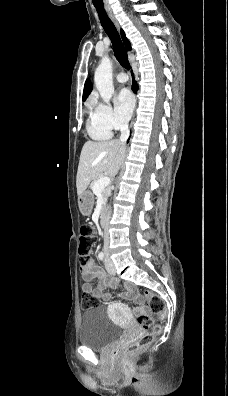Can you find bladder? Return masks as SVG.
<instances>
[{"label":"bladder","instance_id":"obj_1","mask_svg":"<svg viewBox=\"0 0 228 396\" xmlns=\"http://www.w3.org/2000/svg\"><path fill=\"white\" fill-rule=\"evenodd\" d=\"M122 333L123 328L113 323L103 308H94L82 315L79 342L92 350L103 351L118 341Z\"/></svg>","mask_w":228,"mask_h":396}]
</instances>
